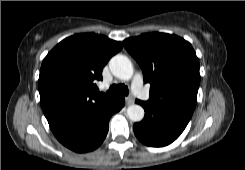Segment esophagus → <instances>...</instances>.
<instances>
[{
	"mask_svg": "<svg viewBox=\"0 0 245 170\" xmlns=\"http://www.w3.org/2000/svg\"><path fill=\"white\" fill-rule=\"evenodd\" d=\"M125 100L127 105H132L134 103V99L132 96L126 97Z\"/></svg>",
	"mask_w": 245,
	"mask_h": 170,
	"instance_id": "34e87169",
	"label": "esophagus"
}]
</instances>
